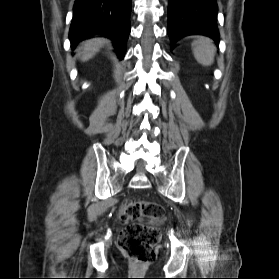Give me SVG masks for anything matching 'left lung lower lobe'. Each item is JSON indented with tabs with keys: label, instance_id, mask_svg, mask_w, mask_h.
Masks as SVG:
<instances>
[{
	"label": "left lung lower lobe",
	"instance_id": "left-lung-lower-lobe-1",
	"mask_svg": "<svg viewBox=\"0 0 279 279\" xmlns=\"http://www.w3.org/2000/svg\"><path fill=\"white\" fill-rule=\"evenodd\" d=\"M168 35L171 48L187 35L200 34L219 42L216 0H168Z\"/></svg>",
	"mask_w": 279,
	"mask_h": 279
}]
</instances>
